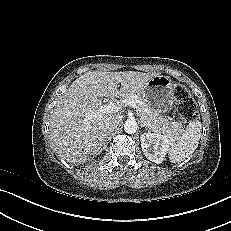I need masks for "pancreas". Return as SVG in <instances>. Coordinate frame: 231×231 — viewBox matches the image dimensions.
I'll list each match as a JSON object with an SVG mask.
<instances>
[{"mask_svg": "<svg viewBox=\"0 0 231 231\" xmlns=\"http://www.w3.org/2000/svg\"><path fill=\"white\" fill-rule=\"evenodd\" d=\"M132 100L137 106V115L140 117L141 122L149 130L155 133L168 134L171 137H178L183 131L182 124L178 122H171L158 112L149 108L142 99L137 95H129L123 98V100Z\"/></svg>", "mask_w": 231, "mask_h": 231, "instance_id": "pancreas-1", "label": "pancreas"}]
</instances>
